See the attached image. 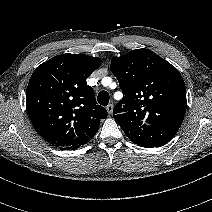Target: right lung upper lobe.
<instances>
[{"label":"right lung upper lobe","instance_id":"obj_1","mask_svg":"<svg viewBox=\"0 0 212 212\" xmlns=\"http://www.w3.org/2000/svg\"><path fill=\"white\" fill-rule=\"evenodd\" d=\"M101 64L98 57L62 54L33 72L26 91L32 124L55 147L84 145L94 137L107 111L97 105L86 79Z\"/></svg>","mask_w":212,"mask_h":212}]
</instances>
